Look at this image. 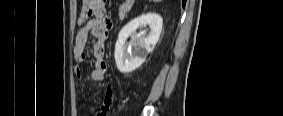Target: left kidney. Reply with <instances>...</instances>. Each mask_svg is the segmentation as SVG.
<instances>
[{
	"instance_id": "1",
	"label": "left kidney",
	"mask_w": 283,
	"mask_h": 116,
	"mask_svg": "<svg viewBox=\"0 0 283 116\" xmlns=\"http://www.w3.org/2000/svg\"><path fill=\"white\" fill-rule=\"evenodd\" d=\"M148 25L151 29L149 35H136V30ZM163 19L156 13L143 14L127 23L119 32L115 44L114 57L118 70L129 73L137 69L153 51L162 31ZM134 35V41L126 45L129 36Z\"/></svg>"
}]
</instances>
